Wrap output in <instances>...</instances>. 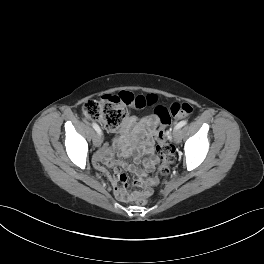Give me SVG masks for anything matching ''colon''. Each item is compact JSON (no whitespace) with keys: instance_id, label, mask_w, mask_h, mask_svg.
<instances>
[{"instance_id":"obj_1","label":"colon","mask_w":264,"mask_h":264,"mask_svg":"<svg viewBox=\"0 0 264 264\" xmlns=\"http://www.w3.org/2000/svg\"><path fill=\"white\" fill-rule=\"evenodd\" d=\"M153 95H136L132 92L122 91L118 94L105 95L100 100H90L82 107V115L87 120L101 122L109 131L118 130L130 109H143L155 103ZM193 112V106L189 103H174L169 108L157 106L154 116L158 121L156 132L157 152L160 162L157 166V174L166 176L169 173V166L175 160V149L170 143L169 127L172 119L189 117ZM138 185L146 187L145 192H132L131 198L138 205H145L148 196L152 193V186L157 183V178L145 177L138 180Z\"/></svg>"}]
</instances>
